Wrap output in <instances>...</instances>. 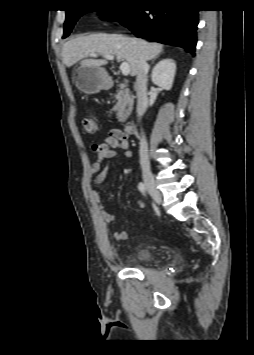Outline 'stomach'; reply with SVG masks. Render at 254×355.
Wrapping results in <instances>:
<instances>
[{
    "label": "stomach",
    "instance_id": "0dacf381",
    "mask_svg": "<svg viewBox=\"0 0 254 355\" xmlns=\"http://www.w3.org/2000/svg\"><path fill=\"white\" fill-rule=\"evenodd\" d=\"M76 87L83 93L95 94L111 85L106 70L92 65H81L73 73Z\"/></svg>",
    "mask_w": 254,
    "mask_h": 355
}]
</instances>
